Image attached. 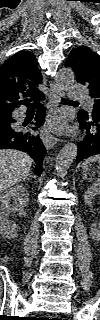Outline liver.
Here are the masks:
<instances>
[{"mask_svg": "<svg viewBox=\"0 0 100 320\" xmlns=\"http://www.w3.org/2000/svg\"><path fill=\"white\" fill-rule=\"evenodd\" d=\"M32 162L31 157L22 151L0 150V191L3 192L26 179Z\"/></svg>", "mask_w": 100, "mask_h": 320, "instance_id": "6515ba94", "label": "liver"}]
</instances>
